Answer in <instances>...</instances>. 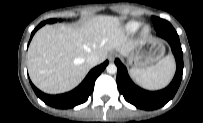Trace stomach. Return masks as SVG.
Returning <instances> with one entry per match:
<instances>
[{"mask_svg": "<svg viewBox=\"0 0 203 123\" xmlns=\"http://www.w3.org/2000/svg\"><path fill=\"white\" fill-rule=\"evenodd\" d=\"M165 53V46L159 39L142 40L126 56L127 63L133 68H147L160 61Z\"/></svg>", "mask_w": 203, "mask_h": 123, "instance_id": "stomach-1", "label": "stomach"}]
</instances>
